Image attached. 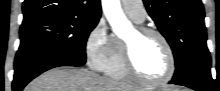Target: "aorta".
<instances>
[{"label":"aorta","mask_w":220,"mask_h":91,"mask_svg":"<svg viewBox=\"0 0 220 91\" xmlns=\"http://www.w3.org/2000/svg\"><path fill=\"white\" fill-rule=\"evenodd\" d=\"M102 8L113 32L121 34L129 23L122 12L120 0H102Z\"/></svg>","instance_id":"762f6f07"}]
</instances>
